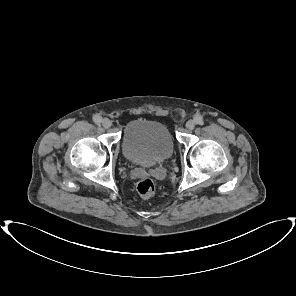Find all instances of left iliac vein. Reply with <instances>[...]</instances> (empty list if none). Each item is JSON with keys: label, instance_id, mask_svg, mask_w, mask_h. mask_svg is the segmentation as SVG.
Returning a JSON list of instances; mask_svg holds the SVG:
<instances>
[{"label": "left iliac vein", "instance_id": "obj_1", "mask_svg": "<svg viewBox=\"0 0 296 296\" xmlns=\"http://www.w3.org/2000/svg\"><path fill=\"white\" fill-rule=\"evenodd\" d=\"M195 124H196V122L194 120H189L186 122L185 126L188 130H193L195 127Z\"/></svg>", "mask_w": 296, "mask_h": 296}]
</instances>
